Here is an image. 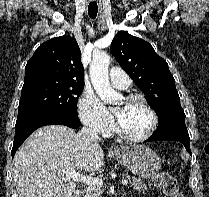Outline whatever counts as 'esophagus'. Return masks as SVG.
I'll use <instances>...</instances> for the list:
<instances>
[{
	"mask_svg": "<svg viewBox=\"0 0 209 197\" xmlns=\"http://www.w3.org/2000/svg\"><path fill=\"white\" fill-rule=\"evenodd\" d=\"M112 151H114V152H120V150H119V148L118 147H112Z\"/></svg>",
	"mask_w": 209,
	"mask_h": 197,
	"instance_id": "esophagus-1",
	"label": "esophagus"
}]
</instances>
